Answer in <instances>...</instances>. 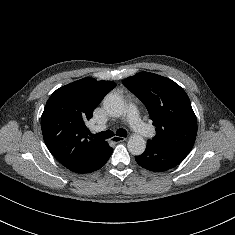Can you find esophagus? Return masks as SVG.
<instances>
[{
	"instance_id": "1",
	"label": "esophagus",
	"mask_w": 235,
	"mask_h": 235,
	"mask_svg": "<svg viewBox=\"0 0 235 235\" xmlns=\"http://www.w3.org/2000/svg\"><path fill=\"white\" fill-rule=\"evenodd\" d=\"M125 140H126V138L121 137V136H114L111 138V142H113V143H119V142H123Z\"/></svg>"
}]
</instances>
